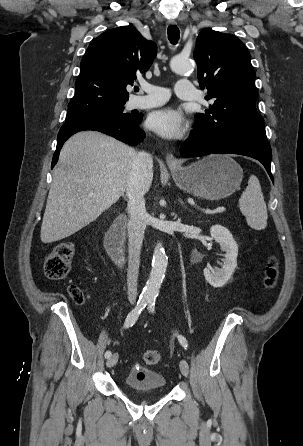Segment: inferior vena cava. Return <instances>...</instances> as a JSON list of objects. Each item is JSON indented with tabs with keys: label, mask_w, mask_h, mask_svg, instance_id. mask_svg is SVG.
I'll use <instances>...</instances> for the list:
<instances>
[{
	"label": "inferior vena cava",
	"mask_w": 303,
	"mask_h": 446,
	"mask_svg": "<svg viewBox=\"0 0 303 446\" xmlns=\"http://www.w3.org/2000/svg\"><path fill=\"white\" fill-rule=\"evenodd\" d=\"M153 159L146 152H139L135 156L130 176L126 187L128 198L127 212L129 221L127 224L129 237V256H128V299L134 301L137 296V279L140 265V251L144 238L146 227L145 218L147 215L145 209L144 194L149 176L152 173Z\"/></svg>",
	"instance_id": "602c4592"
}]
</instances>
